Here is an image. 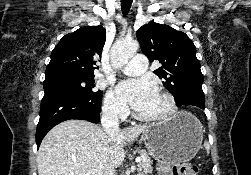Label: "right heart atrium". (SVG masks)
<instances>
[{
  "instance_id": "right-heart-atrium-1",
  "label": "right heart atrium",
  "mask_w": 251,
  "mask_h": 175,
  "mask_svg": "<svg viewBox=\"0 0 251 175\" xmlns=\"http://www.w3.org/2000/svg\"><path fill=\"white\" fill-rule=\"evenodd\" d=\"M103 112L107 117L117 121L125 120L129 116L128 108L116 98L111 90L105 94Z\"/></svg>"
}]
</instances>
